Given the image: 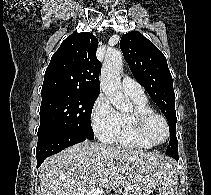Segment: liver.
I'll use <instances>...</instances> for the list:
<instances>
[{
  "label": "liver",
  "mask_w": 211,
  "mask_h": 195,
  "mask_svg": "<svg viewBox=\"0 0 211 195\" xmlns=\"http://www.w3.org/2000/svg\"><path fill=\"white\" fill-rule=\"evenodd\" d=\"M171 169L159 154L85 141L43 162L41 195H88L120 185L126 191L149 195Z\"/></svg>",
  "instance_id": "liver-1"
}]
</instances>
